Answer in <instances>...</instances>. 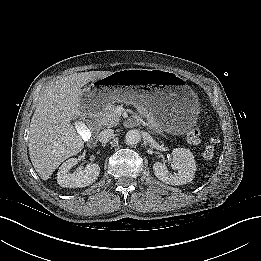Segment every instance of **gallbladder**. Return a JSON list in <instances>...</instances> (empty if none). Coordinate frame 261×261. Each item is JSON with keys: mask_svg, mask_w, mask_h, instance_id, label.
<instances>
[{"mask_svg": "<svg viewBox=\"0 0 261 261\" xmlns=\"http://www.w3.org/2000/svg\"><path fill=\"white\" fill-rule=\"evenodd\" d=\"M74 126L77 130L78 135L82 138V140L87 141V140L91 139L92 133L84 122L75 121Z\"/></svg>", "mask_w": 261, "mask_h": 261, "instance_id": "obj_1", "label": "gallbladder"}]
</instances>
